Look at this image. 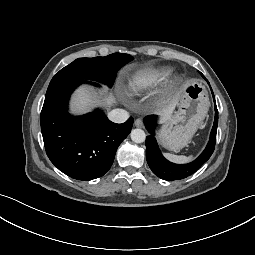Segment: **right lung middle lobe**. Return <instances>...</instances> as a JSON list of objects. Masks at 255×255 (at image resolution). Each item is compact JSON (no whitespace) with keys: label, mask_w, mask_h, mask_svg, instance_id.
I'll return each instance as SVG.
<instances>
[{"label":"right lung middle lobe","mask_w":255,"mask_h":255,"mask_svg":"<svg viewBox=\"0 0 255 255\" xmlns=\"http://www.w3.org/2000/svg\"><path fill=\"white\" fill-rule=\"evenodd\" d=\"M132 60V56L121 53L105 57L78 58L61 69L52 78L50 84L64 80L83 79L101 82L111 87L117 71Z\"/></svg>","instance_id":"right-lung-middle-lobe-1"}]
</instances>
